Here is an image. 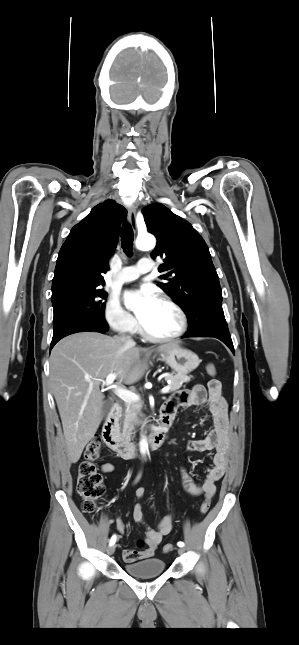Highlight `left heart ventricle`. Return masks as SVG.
<instances>
[{"instance_id": "left-heart-ventricle-1", "label": "left heart ventricle", "mask_w": 299, "mask_h": 645, "mask_svg": "<svg viewBox=\"0 0 299 645\" xmlns=\"http://www.w3.org/2000/svg\"><path fill=\"white\" fill-rule=\"evenodd\" d=\"M141 324L149 333L156 336H165L177 330L179 318L170 306L158 301Z\"/></svg>"}]
</instances>
